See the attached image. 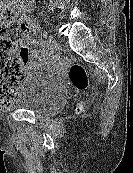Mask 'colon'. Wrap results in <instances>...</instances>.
I'll return each mask as SVG.
<instances>
[{"label": "colon", "mask_w": 133, "mask_h": 173, "mask_svg": "<svg viewBox=\"0 0 133 173\" xmlns=\"http://www.w3.org/2000/svg\"><path fill=\"white\" fill-rule=\"evenodd\" d=\"M30 32V23L17 20L7 10L0 15V107L13 103L25 76L23 61L28 56L27 47L22 44L18 53L16 45ZM69 79L78 90L88 86V76L83 66L72 65Z\"/></svg>", "instance_id": "5ec220e1"}]
</instances>
